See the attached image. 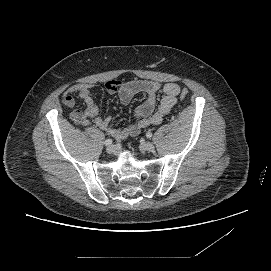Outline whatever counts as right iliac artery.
I'll use <instances>...</instances> for the list:
<instances>
[{
  "mask_svg": "<svg viewBox=\"0 0 271 271\" xmlns=\"http://www.w3.org/2000/svg\"><path fill=\"white\" fill-rule=\"evenodd\" d=\"M104 144L105 146H110L112 144V139H106Z\"/></svg>",
  "mask_w": 271,
  "mask_h": 271,
  "instance_id": "obj_1",
  "label": "right iliac artery"
}]
</instances>
